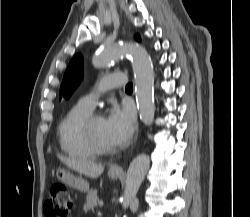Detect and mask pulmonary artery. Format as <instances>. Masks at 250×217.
I'll list each match as a JSON object with an SVG mask.
<instances>
[{"instance_id":"pulmonary-artery-1","label":"pulmonary artery","mask_w":250,"mask_h":217,"mask_svg":"<svg viewBox=\"0 0 250 217\" xmlns=\"http://www.w3.org/2000/svg\"><path fill=\"white\" fill-rule=\"evenodd\" d=\"M127 82L123 73H110L101 78L99 87L85 95L81 101L90 108H93L100 94L109 89L123 87Z\"/></svg>"}]
</instances>
